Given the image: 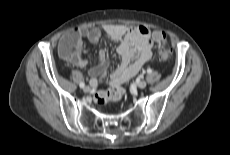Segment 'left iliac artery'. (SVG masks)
Segmentation results:
<instances>
[{
	"label": "left iliac artery",
	"instance_id": "1",
	"mask_svg": "<svg viewBox=\"0 0 230 155\" xmlns=\"http://www.w3.org/2000/svg\"><path fill=\"white\" fill-rule=\"evenodd\" d=\"M147 72H148V73H151V72H152V70H151V69H148V70H147Z\"/></svg>",
	"mask_w": 230,
	"mask_h": 155
}]
</instances>
